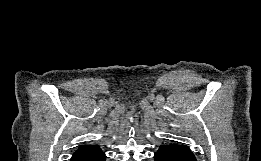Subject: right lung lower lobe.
<instances>
[{
  "label": "right lung lower lobe",
  "instance_id": "98d812e1",
  "mask_svg": "<svg viewBox=\"0 0 261 161\" xmlns=\"http://www.w3.org/2000/svg\"><path fill=\"white\" fill-rule=\"evenodd\" d=\"M70 161H105V154L97 145H84L73 154Z\"/></svg>",
  "mask_w": 261,
  "mask_h": 161
}]
</instances>
